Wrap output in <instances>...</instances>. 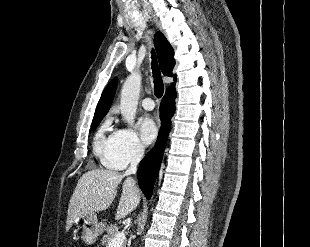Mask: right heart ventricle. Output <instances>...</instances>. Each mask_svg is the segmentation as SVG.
Returning a JSON list of instances; mask_svg holds the SVG:
<instances>
[{
  "label": "right heart ventricle",
  "instance_id": "e07e8e85",
  "mask_svg": "<svg viewBox=\"0 0 310 247\" xmlns=\"http://www.w3.org/2000/svg\"><path fill=\"white\" fill-rule=\"evenodd\" d=\"M114 133L111 132V120L107 119L97 130L93 140V150L97 158L105 164L113 142ZM108 168H114L107 166Z\"/></svg>",
  "mask_w": 310,
  "mask_h": 247
}]
</instances>
